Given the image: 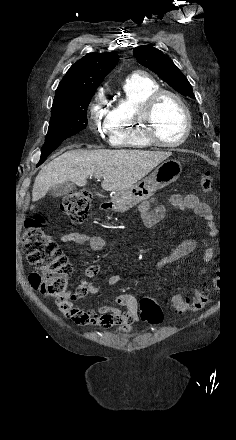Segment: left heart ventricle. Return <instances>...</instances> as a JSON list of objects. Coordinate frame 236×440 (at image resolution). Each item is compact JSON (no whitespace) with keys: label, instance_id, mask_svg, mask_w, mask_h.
Returning <instances> with one entry per match:
<instances>
[{"label":"left heart ventricle","instance_id":"obj_1","mask_svg":"<svg viewBox=\"0 0 236 440\" xmlns=\"http://www.w3.org/2000/svg\"><path fill=\"white\" fill-rule=\"evenodd\" d=\"M158 137L166 142L180 139L185 129V116L180 105L171 97L160 99L155 109Z\"/></svg>","mask_w":236,"mask_h":440}]
</instances>
